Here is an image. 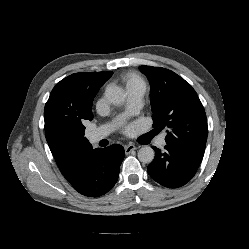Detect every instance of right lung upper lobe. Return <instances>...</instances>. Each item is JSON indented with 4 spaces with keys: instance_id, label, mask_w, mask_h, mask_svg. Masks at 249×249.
Returning a JSON list of instances; mask_svg holds the SVG:
<instances>
[{
    "instance_id": "right-lung-upper-lobe-1",
    "label": "right lung upper lobe",
    "mask_w": 249,
    "mask_h": 249,
    "mask_svg": "<svg viewBox=\"0 0 249 249\" xmlns=\"http://www.w3.org/2000/svg\"><path fill=\"white\" fill-rule=\"evenodd\" d=\"M112 72H79L53 88L45 105V135L51 153L62 173H66L73 157L92 149L84 137L86 120H92V102Z\"/></svg>"
}]
</instances>
